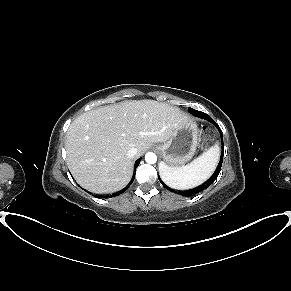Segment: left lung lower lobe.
Returning <instances> with one entry per match:
<instances>
[{
  "mask_svg": "<svg viewBox=\"0 0 291 291\" xmlns=\"http://www.w3.org/2000/svg\"><path fill=\"white\" fill-rule=\"evenodd\" d=\"M192 114L196 117H199L201 119H205L207 121H210L211 123H213L219 130L220 132V135H221V139H222V151H221V157H220V161H219V164L214 172V174L211 176L210 179H208L205 183H203L202 185L196 187V188H193V189H190V190H186V191H174L182 196H186V197H191V196H194L202 191H204L205 189H207L215 180L216 178L218 177L219 175V172L221 170V167H222V162H223V155H224V144H223V134H222V131L220 129V127L216 124V122L206 113H203L201 111H197V110H193L192 111ZM159 181L162 183V185L169 191H173L172 189L168 188L159 178Z\"/></svg>",
  "mask_w": 291,
  "mask_h": 291,
  "instance_id": "left-lung-lower-lobe-1",
  "label": "left lung lower lobe"
}]
</instances>
